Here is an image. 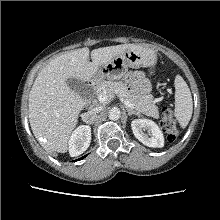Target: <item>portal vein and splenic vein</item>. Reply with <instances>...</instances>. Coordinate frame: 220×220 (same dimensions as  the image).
I'll return each instance as SVG.
<instances>
[{
  "instance_id": "portal-vein-and-splenic-vein-1",
  "label": "portal vein and splenic vein",
  "mask_w": 220,
  "mask_h": 220,
  "mask_svg": "<svg viewBox=\"0 0 220 220\" xmlns=\"http://www.w3.org/2000/svg\"><path fill=\"white\" fill-rule=\"evenodd\" d=\"M98 101L100 102V103H107V102H109L112 98L111 97H109L107 94H100V95H98ZM127 107H129V108H132V109H134L135 107H134V104H132L131 102H129V101H126V100H121Z\"/></svg>"
}]
</instances>
